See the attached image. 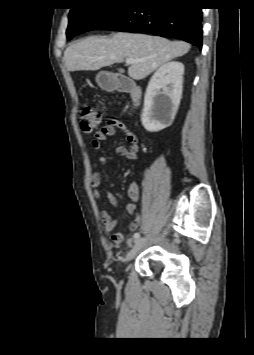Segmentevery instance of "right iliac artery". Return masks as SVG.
I'll use <instances>...</instances> for the list:
<instances>
[{"label":"right iliac artery","mask_w":254,"mask_h":355,"mask_svg":"<svg viewBox=\"0 0 254 355\" xmlns=\"http://www.w3.org/2000/svg\"><path fill=\"white\" fill-rule=\"evenodd\" d=\"M133 238L134 239H139L140 238V234L138 232L134 233Z\"/></svg>","instance_id":"82829eb1"}]
</instances>
